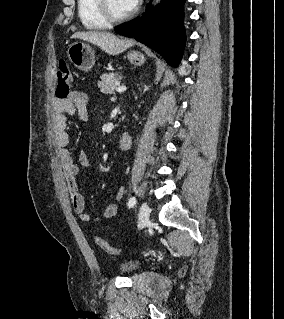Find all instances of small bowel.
Returning <instances> with one entry per match:
<instances>
[{"instance_id": "obj_1", "label": "small bowel", "mask_w": 284, "mask_h": 319, "mask_svg": "<svg viewBox=\"0 0 284 319\" xmlns=\"http://www.w3.org/2000/svg\"><path fill=\"white\" fill-rule=\"evenodd\" d=\"M77 116L78 119L85 121L88 118V96L81 91H73L68 98H56L53 101L52 125L54 142L58 148V156L61 167L66 179V183L71 196L72 207L83 223H89L92 220L99 222L115 217L118 213V205L111 203L107 206L102 217L94 219L85 210V200L79 188L77 177L79 167L75 164L71 152L68 150L69 134L67 131V117ZM78 162L81 167L87 168L90 165L88 155L81 151L78 155ZM124 188L121 187L116 192V200L119 201L124 196Z\"/></svg>"}]
</instances>
